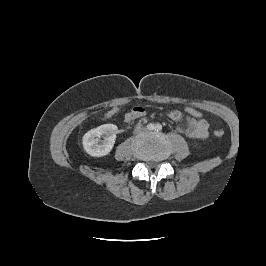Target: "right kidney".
<instances>
[{
	"instance_id": "ca27d5eb",
	"label": "right kidney",
	"mask_w": 266,
	"mask_h": 266,
	"mask_svg": "<svg viewBox=\"0 0 266 266\" xmlns=\"http://www.w3.org/2000/svg\"><path fill=\"white\" fill-rule=\"evenodd\" d=\"M118 128L114 124H104L97 128L91 129L83 136L84 150L93 157H102L112 150ZM104 140L99 143V138Z\"/></svg>"
}]
</instances>
